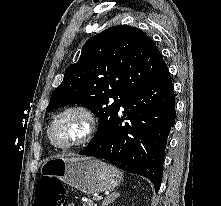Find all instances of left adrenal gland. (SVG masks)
<instances>
[{
	"label": "left adrenal gland",
	"mask_w": 221,
	"mask_h": 206,
	"mask_svg": "<svg viewBox=\"0 0 221 206\" xmlns=\"http://www.w3.org/2000/svg\"><path fill=\"white\" fill-rule=\"evenodd\" d=\"M120 196V193L113 192L110 195H108L101 203V206H108L110 203L115 201Z\"/></svg>",
	"instance_id": "obj_1"
}]
</instances>
